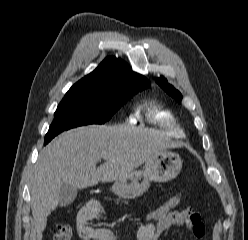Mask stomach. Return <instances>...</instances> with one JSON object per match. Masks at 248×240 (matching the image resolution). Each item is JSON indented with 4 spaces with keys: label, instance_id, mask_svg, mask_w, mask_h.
<instances>
[{
    "label": "stomach",
    "instance_id": "stomach-1",
    "mask_svg": "<svg viewBox=\"0 0 248 240\" xmlns=\"http://www.w3.org/2000/svg\"><path fill=\"white\" fill-rule=\"evenodd\" d=\"M181 157L163 151L145 162L143 170L133 171L127 177L114 181L111 191L119 198L134 199L141 196L150 182H167L174 179L182 168Z\"/></svg>",
    "mask_w": 248,
    "mask_h": 240
}]
</instances>
